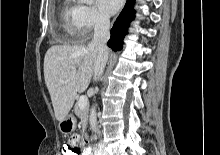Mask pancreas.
<instances>
[{"instance_id": "pancreas-1", "label": "pancreas", "mask_w": 220, "mask_h": 155, "mask_svg": "<svg viewBox=\"0 0 220 155\" xmlns=\"http://www.w3.org/2000/svg\"><path fill=\"white\" fill-rule=\"evenodd\" d=\"M74 113L81 120L82 128L84 130L87 126L88 107L80 108L77 102L74 106Z\"/></svg>"}]
</instances>
